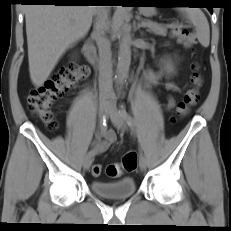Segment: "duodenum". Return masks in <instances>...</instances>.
I'll return each instance as SVG.
<instances>
[{"mask_svg": "<svg viewBox=\"0 0 231 231\" xmlns=\"http://www.w3.org/2000/svg\"><path fill=\"white\" fill-rule=\"evenodd\" d=\"M83 52L90 64L96 65L98 62L96 48L92 42H87L84 45Z\"/></svg>", "mask_w": 231, "mask_h": 231, "instance_id": "1", "label": "duodenum"}]
</instances>
